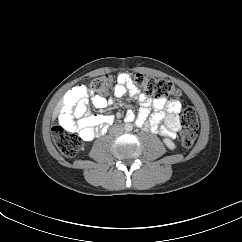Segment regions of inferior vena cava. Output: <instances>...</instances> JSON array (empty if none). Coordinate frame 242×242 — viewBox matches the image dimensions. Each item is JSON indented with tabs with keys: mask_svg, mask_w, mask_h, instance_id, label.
Segmentation results:
<instances>
[{
	"mask_svg": "<svg viewBox=\"0 0 242 242\" xmlns=\"http://www.w3.org/2000/svg\"><path fill=\"white\" fill-rule=\"evenodd\" d=\"M111 132L115 135L121 134L123 132V127L120 125H115L112 127Z\"/></svg>",
	"mask_w": 242,
	"mask_h": 242,
	"instance_id": "obj_1",
	"label": "inferior vena cava"
}]
</instances>
